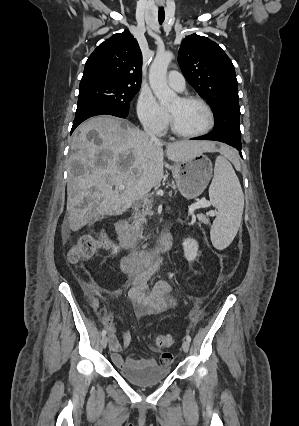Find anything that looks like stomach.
<instances>
[{
  "label": "stomach",
  "instance_id": "1",
  "mask_svg": "<svg viewBox=\"0 0 299 426\" xmlns=\"http://www.w3.org/2000/svg\"><path fill=\"white\" fill-rule=\"evenodd\" d=\"M210 159L200 153L186 161L175 162L172 174L180 193L187 199L202 194L212 177Z\"/></svg>",
  "mask_w": 299,
  "mask_h": 426
}]
</instances>
